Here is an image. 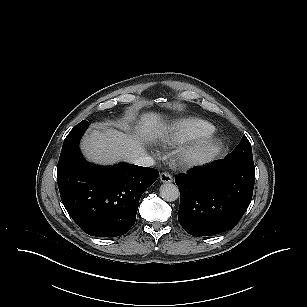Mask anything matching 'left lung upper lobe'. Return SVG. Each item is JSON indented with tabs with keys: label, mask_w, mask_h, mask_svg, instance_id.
<instances>
[{
	"label": "left lung upper lobe",
	"mask_w": 307,
	"mask_h": 307,
	"mask_svg": "<svg viewBox=\"0 0 307 307\" xmlns=\"http://www.w3.org/2000/svg\"><path fill=\"white\" fill-rule=\"evenodd\" d=\"M226 159L253 163L251 144L246 136H243L240 144L226 156Z\"/></svg>",
	"instance_id": "obj_1"
}]
</instances>
